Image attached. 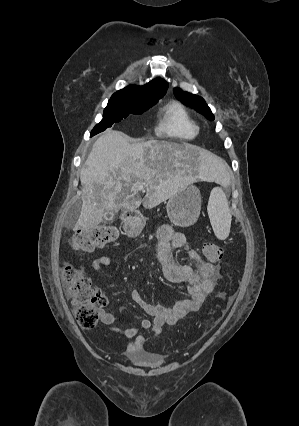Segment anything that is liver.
Masks as SVG:
<instances>
[{"label":"liver","instance_id":"6515ba94","mask_svg":"<svg viewBox=\"0 0 299 426\" xmlns=\"http://www.w3.org/2000/svg\"><path fill=\"white\" fill-rule=\"evenodd\" d=\"M228 175L227 163L207 150L166 140L129 143L124 133L108 130L80 170L82 209L75 228L96 227L106 208H152L198 177L223 181Z\"/></svg>","mask_w":299,"mask_h":426}]
</instances>
